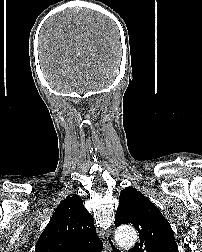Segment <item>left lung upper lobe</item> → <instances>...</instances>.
<instances>
[{"label":"left lung upper lobe","mask_w":202,"mask_h":252,"mask_svg":"<svg viewBox=\"0 0 202 252\" xmlns=\"http://www.w3.org/2000/svg\"><path fill=\"white\" fill-rule=\"evenodd\" d=\"M131 224L139 232V242L129 252H178L169 222L142 193L128 187L120 193L115 225Z\"/></svg>","instance_id":"left-lung-upper-lobe-1"}]
</instances>
